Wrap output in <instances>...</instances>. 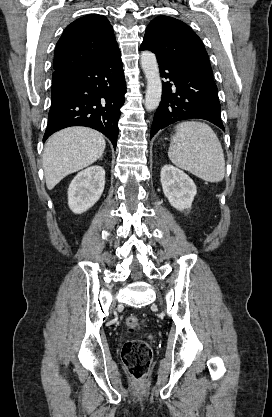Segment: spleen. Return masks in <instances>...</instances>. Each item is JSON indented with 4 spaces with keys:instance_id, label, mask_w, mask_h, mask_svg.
Here are the masks:
<instances>
[{
    "instance_id": "3e777b00",
    "label": "spleen",
    "mask_w": 272,
    "mask_h": 417,
    "mask_svg": "<svg viewBox=\"0 0 272 417\" xmlns=\"http://www.w3.org/2000/svg\"><path fill=\"white\" fill-rule=\"evenodd\" d=\"M168 156L177 167L212 183L225 176V159L221 143L209 125L185 121L175 127Z\"/></svg>"
}]
</instances>
